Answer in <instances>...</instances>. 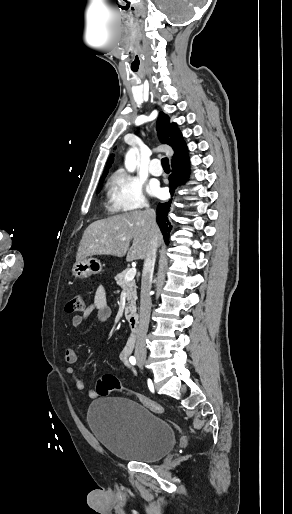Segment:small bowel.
<instances>
[{
    "label": "small bowel",
    "instance_id": "1",
    "mask_svg": "<svg viewBox=\"0 0 292 514\" xmlns=\"http://www.w3.org/2000/svg\"><path fill=\"white\" fill-rule=\"evenodd\" d=\"M92 313L96 314L97 320L101 323L108 321L113 315L112 308L109 306L107 301L106 289L102 285L97 287L92 302L88 305L83 314L74 315L71 318V326L74 328L80 327L85 321V319L89 317ZM128 357L129 349L125 348L120 354V360L127 368L129 373L131 375H135V370L130 365ZM64 360L68 364V366L66 367V374L72 379L75 388L78 391H83L85 389V382L77 374L76 370L72 366L78 360L76 351L71 347H66L64 350ZM88 395L91 398L97 397V393L95 390H89Z\"/></svg>",
    "mask_w": 292,
    "mask_h": 514
}]
</instances>
